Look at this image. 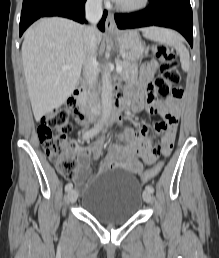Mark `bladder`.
Masks as SVG:
<instances>
[{
  "instance_id": "bladder-1",
  "label": "bladder",
  "mask_w": 219,
  "mask_h": 258,
  "mask_svg": "<svg viewBox=\"0 0 219 258\" xmlns=\"http://www.w3.org/2000/svg\"><path fill=\"white\" fill-rule=\"evenodd\" d=\"M142 197L141 185L134 176L111 169L91 178L81 204L86 213L103 224L117 226L136 215L142 206Z\"/></svg>"
}]
</instances>
